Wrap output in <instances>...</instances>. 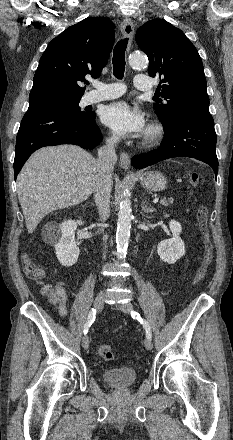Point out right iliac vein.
Returning <instances> with one entry per match:
<instances>
[{
  "mask_svg": "<svg viewBox=\"0 0 233 440\" xmlns=\"http://www.w3.org/2000/svg\"><path fill=\"white\" fill-rule=\"evenodd\" d=\"M103 305H104V292L101 291L100 293H98V295L95 298L94 307L98 312H100L103 308ZM89 344H90L89 337L88 335H85L82 338V347L86 350L89 348Z\"/></svg>",
  "mask_w": 233,
  "mask_h": 440,
  "instance_id": "1",
  "label": "right iliac vein"
}]
</instances>
